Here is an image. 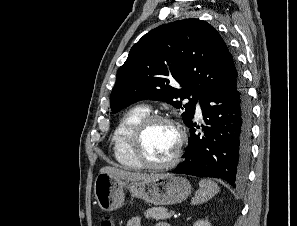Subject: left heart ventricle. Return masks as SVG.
Instances as JSON below:
<instances>
[{"instance_id":"obj_1","label":"left heart ventricle","mask_w":297,"mask_h":226,"mask_svg":"<svg viewBox=\"0 0 297 226\" xmlns=\"http://www.w3.org/2000/svg\"><path fill=\"white\" fill-rule=\"evenodd\" d=\"M177 142L178 134L172 125L156 122L144 135L143 152L151 162H166L173 156Z\"/></svg>"}]
</instances>
